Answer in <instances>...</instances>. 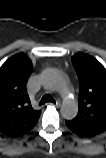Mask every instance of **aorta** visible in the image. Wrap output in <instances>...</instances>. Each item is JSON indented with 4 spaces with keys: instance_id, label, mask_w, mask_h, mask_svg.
<instances>
[{
    "instance_id": "762f6f07",
    "label": "aorta",
    "mask_w": 106,
    "mask_h": 158,
    "mask_svg": "<svg viewBox=\"0 0 106 158\" xmlns=\"http://www.w3.org/2000/svg\"><path fill=\"white\" fill-rule=\"evenodd\" d=\"M43 82L48 88L58 90L65 96L61 106L62 117L67 120L75 118L78 113V105L72 97L63 77L55 70H47L43 75Z\"/></svg>"
}]
</instances>
